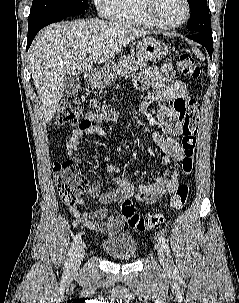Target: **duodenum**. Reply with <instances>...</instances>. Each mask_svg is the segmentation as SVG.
Listing matches in <instances>:
<instances>
[{
	"mask_svg": "<svg viewBox=\"0 0 239 303\" xmlns=\"http://www.w3.org/2000/svg\"><path fill=\"white\" fill-rule=\"evenodd\" d=\"M96 77L97 76H96V74L94 72H89L88 75H87V80L89 82H92V81H94L96 79Z\"/></svg>",
	"mask_w": 239,
	"mask_h": 303,
	"instance_id": "obj_1",
	"label": "duodenum"
}]
</instances>
